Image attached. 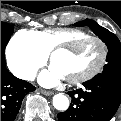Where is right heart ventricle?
<instances>
[{
    "label": "right heart ventricle",
    "mask_w": 121,
    "mask_h": 121,
    "mask_svg": "<svg viewBox=\"0 0 121 121\" xmlns=\"http://www.w3.org/2000/svg\"><path fill=\"white\" fill-rule=\"evenodd\" d=\"M18 34L23 38L32 39L45 55H48L56 46L69 45L88 36L82 31L66 29L21 30Z\"/></svg>",
    "instance_id": "1"
}]
</instances>
